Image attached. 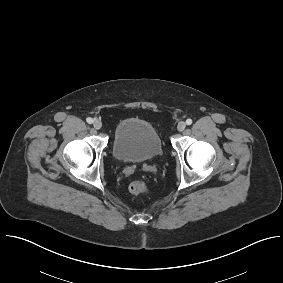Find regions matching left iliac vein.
I'll list each match as a JSON object with an SVG mask.
<instances>
[{
    "label": "left iliac vein",
    "mask_w": 283,
    "mask_h": 283,
    "mask_svg": "<svg viewBox=\"0 0 283 283\" xmlns=\"http://www.w3.org/2000/svg\"><path fill=\"white\" fill-rule=\"evenodd\" d=\"M186 128V123L184 121H180L177 125L178 131H183Z\"/></svg>",
    "instance_id": "4c4485c4"
}]
</instances>
